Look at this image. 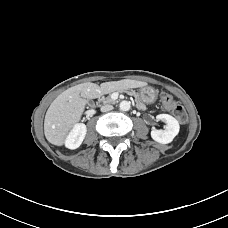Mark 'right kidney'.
I'll use <instances>...</instances> for the list:
<instances>
[{
  "instance_id": "right-kidney-1",
  "label": "right kidney",
  "mask_w": 228,
  "mask_h": 228,
  "mask_svg": "<svg viewBox=\"0 0 228 228\" xmlns=\"http://www.w3.org/2000/svg\"><path fill=\"white\" fill-rule=\"evenodd\" d=\"M87 128L83 123L76 124L66 138L65 146L69 149L78 148L86 135Z\"/></svg>"
}]
</instances>
